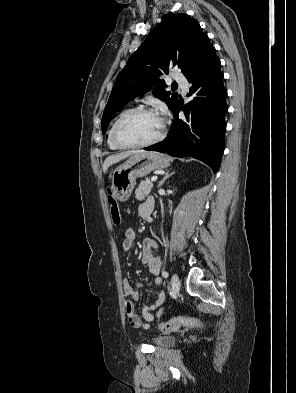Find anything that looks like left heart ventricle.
<instances>
[{"label": "left heart ventricle", "instance_id": "obj_1", "mask_svg": "<svg viewBox=\"0 0 296 393\" xmlns=\"http://www.w3.org/2000/svg\"><path fill=\"white\" fill-rule=\"evenodd\" d=\"M163 121L157 113H143L130 118L121 129V137L127 143H142L156 137Z\"/></svg>", "mask_w": 296, "mask_h": 393}]
</instances>
